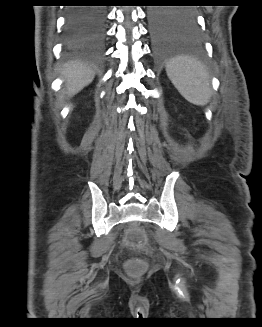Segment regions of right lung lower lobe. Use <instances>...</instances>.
I'll use <instances>...</instances> for the list:
<instances>
[{
  "mask_svg": "<svg viewBox=\"0 0 262 327\" xmlns=\"http://www.w3.org/2000/svg\"><path fill=\"white\" fill-rule=\"evenodd\" d=\"M106 13L100 7H73L66 21L67 43L99 46L104 41Z\"/></svg>",
  "mask_w": 262,
  "mask_h": 327,
  "instance_id": "right-lung-lower-lobe-1",
  "label": "right lung lower lobe"
}]
</instances>
